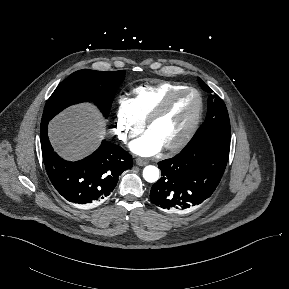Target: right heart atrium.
I'll return each instance as SVG.
<instances>
[{
	"label": "right heart atrium",
	"instance_id": "obj_1",
	"mask_svg": "<svg viewBox=\"0 0 289 289\" xmlns=\"http://www.w3.org/2000/svg\"><path fill=\"white\" fill-rule=\"evenodd\" d=\"M143 127L144 123L134 113L131 99L121 98L115 113L114 131L117 137L127 142L140 134Z\"/></svg>",
	"mask_w": 289,
	"mask_h": 289
}]
</instances>
